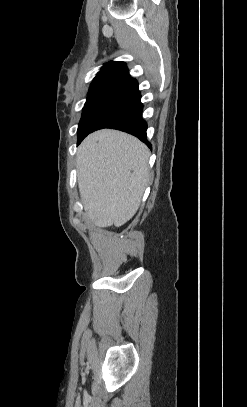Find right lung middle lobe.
Instances as JSON below:
<instances>
[{"instance_id":"obj_1","label":"right lung middle lobe","mask_w":247,"mask_h":407,"mask_svg":"<svg viewBox=\"0 0 247 407\" xmlns=\"http://www.w3.org/2000/svg\"><path fill=\"white\" fill-rule=\"evenodd\" d=\"M137 95L138 92L134 90L114 89L87 97L78 126V142L104 117Z\"/></svg>"}]
</instances>
